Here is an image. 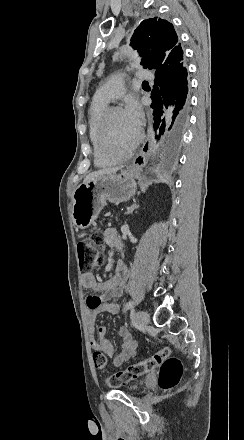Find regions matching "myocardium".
<instances>
[{
  "mask_svg": "<svg viewBox=\"0 0 244 440\" xmlns=\"http://www.w3.org/2000/svg\"><path fill=\"white\" fill-rule=\"evenodd\" d=\"M117 110H122V108L120 106H111L108 107L104 113L103 116V122H101V125L99 126V129L102 130L103 132H99L98 136H99V140L101 141V143L99 144L101 147L99 148L104 154H115L117 151L115 149H112L111 146H107V139L105 137H107V133L109 132L108 128H105L108 126V124H110V118L111 115L114 111ZM130 145V142L127 141L126 145H120V146H116L117 148L123 147V146H127Z\"/></svg>",
  "mask_w": 244,
  "mask_h": 440,
  "instance_id": "myocardium-1",
  "label": "myocardium"
}]
</instances>
